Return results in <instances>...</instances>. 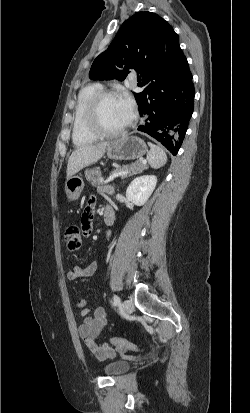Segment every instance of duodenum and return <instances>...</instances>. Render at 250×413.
I'll list each match as a JSON object with an SVG mask.
<instances>
[{
	"instance_id": "duodenum-1",
	"label": "duodenum",
	"mask_w": 250,
	"mask_h": 413,
	"mask_svg": "<svg viewBox=\"0 0 250 413\" xmlns=\"http://www.w3.org/2000/svg\"><path fill=\"white\" fill-rule=\"evenodd\" d=\"M115 214L111 207H107L104 213V222L106 225H112L114 223Z\"/></svg>"
}]
</instances>
